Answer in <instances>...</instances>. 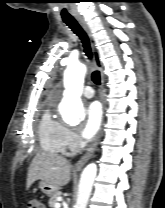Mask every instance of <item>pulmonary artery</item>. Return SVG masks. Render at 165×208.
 <instances>
[{"instance_id": "e3ab8cb5", "label": "pulmonary artery", "mask_w": 165, "mask_h": 208, "mask_svg": "<svg viewBox=\"0 0 165 208\" xmlns=\"http://www.w3.org/2000/svg\"><path fill=\"white\" fill-rule=\"evenodd\" d=\"M95 92L91 86H85L82 90V96L85 98H92L94 97Z\"/></svg>"}]
</instances>
